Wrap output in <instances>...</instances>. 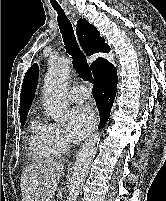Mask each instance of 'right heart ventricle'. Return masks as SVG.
<instances>
[{
	"label": "right heart ventricle",
	"mask_w": 166,
	"mask_h": 201,
	"mask_svg": "<svg viewBox=\"0 0 166 201\" xmlns=\"http://www.w3.org/2000/svg\"><path fill=\"white\" fill-rule=\"evenodd\" d=\"M53 126L39 118L29 125V152L37 161H50L61 153L54 142Z\"/></svg>",
	"instance_id": "e07e8e85"
}]
</instances>
